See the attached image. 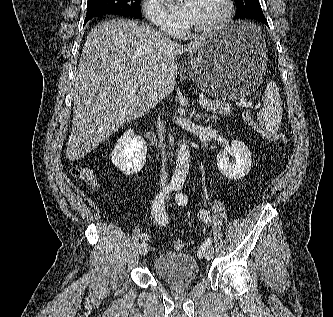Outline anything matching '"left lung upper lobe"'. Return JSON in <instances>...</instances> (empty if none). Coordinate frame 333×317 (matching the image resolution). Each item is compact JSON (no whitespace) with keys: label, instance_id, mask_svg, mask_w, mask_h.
Wrapping results in <instances>:
<instances>
[{"label":"left lung upper lobe","instance_id":"5c2ea615","mask_svg":"<svg viewBox=\"0 0 333 317\" xmlns=\"http://www.w3.org/2000/svg\"><path fill=\"white\" fill-rule=\"evenodd\" d=\"M237 10L235 17H240L250 13H263L259 0H234Z\"/></svg>","mask_w":333,"mask_h":317}]
</instances>
